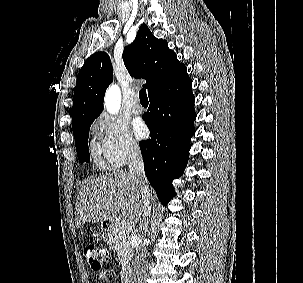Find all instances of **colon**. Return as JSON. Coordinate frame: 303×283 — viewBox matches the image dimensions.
<instances>
[{
	"instance_id": "obj_1",
	"label": "colon",
	"mask_w": 303,
	"mask_h": 283,
	"mask_svg": "<svg viewBox=\"0 0 303 283\" xmlns=\"http://www.w3.org/2000/svg\"><path fill=\"white\" fill-rule=\"evenodd\" d=\"M83 256L91 271L100 272L110 257V250L102 244L88 243L83 248Z\"/></svg>"
}]
</instances>
